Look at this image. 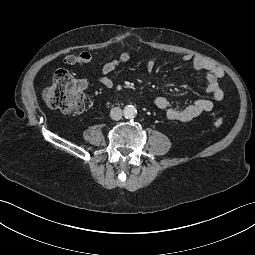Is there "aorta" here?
<instances>
[{
  "label": "aorta",
  "instance_id": "obj_1",
  "mask_svg": "<svg viewBox=\"0 0 255 255\" xmlns=\"http://www.w3.org/2000/svg\"><path fill=\"white\" fill-rule=\"evenodd\" d=\"M125 118H134L137 114V110L133 105H126L123 110Z\"/></svg>",
  "mask_w": 255,
  "mask_h": 255
}]
</instances>
